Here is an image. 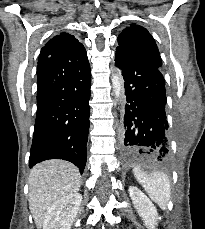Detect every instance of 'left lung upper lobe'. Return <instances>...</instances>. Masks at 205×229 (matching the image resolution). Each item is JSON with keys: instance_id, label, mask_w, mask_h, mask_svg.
Here are the masks:
<instances>
[{"instance_id": "1", "label": "left lung upper lobe", "mask_w": 205, "mask_h": 229, "mask_svg": "<svg viewBox=\"0 0 205 229\" xmlns=\"http://www.w3.org/2000/svg\"><path fill=\"white\" fill-rule=\"evenodd\" d=\"M118 48L161 68L162 60L154 38L142 26L131 24L118 36Z\"/></svg>"}]
</instances>
